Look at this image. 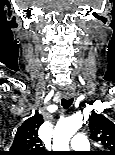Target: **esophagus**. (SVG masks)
Returning a JSON list of instances; mask_svg holds the SVG:
<instances>
[{
  "label": "esophagus",
  "instance_id": "obj_1",
  "mask_svg": "<svg viewBox=\"0 0 115 155\" xmlns=\"http://www.w3.org/2000/svg\"><path fill=\"white\" fill-rule=\"evenodd\" d=\"M72 96H73L72 93H65L64 94V97L67 98V99L71 98Z\"/></svg>",
  "mask_w": 115,
  "mask_h": 155
}]
</instances>
